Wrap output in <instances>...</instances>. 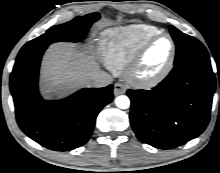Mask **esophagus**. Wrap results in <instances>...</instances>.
Segmentation results:
<instances>
[{
    "mask_svg": "<svg viewBox=\"0 0 220 173\" xmlns=\"http://www.w3.org/2000/svg\"><path fill=\"white\" fill-rule=\"evenodd\" d=\"M126 92V87L121 83H116L114 85V95L118 96Z\"/></svg>",
    "mask_w": 220,
    "mask_h": 173,
    "instance_id": "esophagus-1",
    "label": "esophagus"
}]
</instances>
